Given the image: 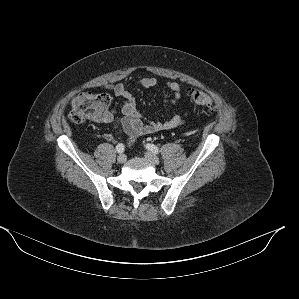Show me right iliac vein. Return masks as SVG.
<instances>
[{"label":"right iliac vein","instance_id":"right-iliac-vein-1","mask_svg":"<svg viewBox=\"0 0 299 299\" xmlns=\"http://www.w3.org/2000/svg\"><path fill=\"white\" fill-rule=\"evenodd\" d=\"M126 160H127V157H126V155H124V154L119 155L118 158H117V161H118V163H120V164L125 163Z\"/></svg>","mask_w":299,"mask_h":299}]
</instances>
